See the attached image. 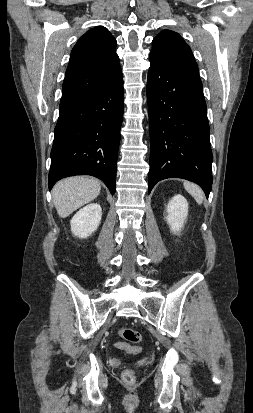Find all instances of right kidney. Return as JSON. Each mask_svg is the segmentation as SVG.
Masks as SVG:
<instances>
[{
  "label": "right kidney",
  "instance_id": "ca27d5eb",
  "mask_svg": "<svg viewBox=\"0 0 253 413\" xmlns=\"http://www.w3.org/2000/svg\"><path fill=\"white\" fill-rule=\"evenodd\" d=\"M102 209L99 204L91 203L80 209L72 218L71 231L79 238H87L100 224Z\"/></svg>",
  "mask_w": 253,
  "mask_h": 413
}]
</instances>
